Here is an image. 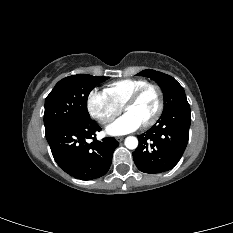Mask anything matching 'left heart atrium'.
<instances>
[{"mask_svg": "<svg viewBox=\"0 0 233 233\" xmlns=\"http://www.w3.org/2000/svg\"><path fill=\"white\" fill-rule=\"evenodd\" d=\"M140 126L141 123L132 114L125 113L112 122L106 128V132L113 136L124 135L137 130Z\"/></svg>", "mask_w": 233, "mask_h": 233, "instance_id": "left-heart-atrium-1", "label": "left heart atrium"}]
</instances>
